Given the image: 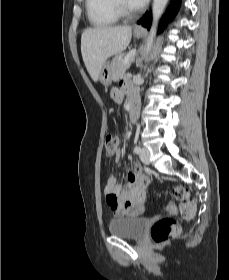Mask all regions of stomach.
<instances>
[{
  "label": "stomach",
  "mask_w": 229,
  "mask_h": 280,
  "mask_svg": "<svg viewBox=\"0 0 229 280\" xmlns=\"http://www.w3.org/2000/svg\"><path fill=\"white\" fill-rule=\"evenodd\" d=\"M134 36L139 38L142 36V32H135ZM99 81L104 86H109L112 83V71H111V65L109 63H105L102 67L100 74H99Z\"/></svg>",
  "instance_id": "1"
}]
</instances>
